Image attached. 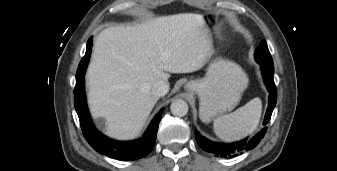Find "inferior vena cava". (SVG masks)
Segmentation results:
<instances>
[{
    "mask_svg": "<svg viewBox=\"0 0 337 171\" xmlns=\"http://www.w3.org/2000/svg\"><path fill=\"white\" fill-rule=\"evenodd\" d=\"M169 85L165 81H158L152 87V93L156 97H162L167 94Z\"/></svg>",
    "mask_w": 337,
    "mask_h": 171,
    "instance_id": "obj_1",
    "label": "inferior vena cava"
}]
</instances>
